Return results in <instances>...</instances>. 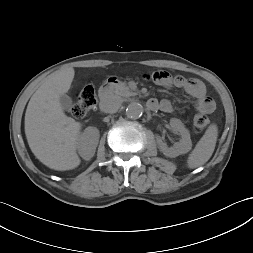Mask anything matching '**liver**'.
<instances>
[{
    "label": "liver",
    "mask_w": 253,
    "mask_h": 253,
    "mask_svg": "<svg viewBox=\"0 0 253 253\" xmlns=\"http://www.w3.org/2000/svg\"><path fill=\"white\" fill-rule=\"evenodd\" d=\"M74 75L71 67L50 75L32 95L25 113V134L32 153L58 171L74 169L81 162L76 149L82 125L65 115L59 102Z\"/></svg>",
    "instance_id": "obj_1"
}]
</instances>
